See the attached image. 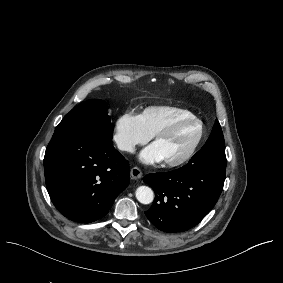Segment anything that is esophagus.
<instances>
[{"label":"esophagus","mask_w":283,"mask_h":283,"mask_svg":"<svg viewBox=\"0 0 283 283\" xmlns=\"http://www.w3.org/2000/svg\"><path fill=\"white\" fill-rule=\"evenodd\" d=\"M130 174L132 179H140L142 177V171L138 167H133Z\"/></svg>","instance_id":"obj_1"}]
</instances>
